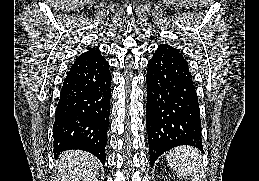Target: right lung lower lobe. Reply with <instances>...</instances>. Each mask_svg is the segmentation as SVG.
<instances>
[{"label":"right lung lower lobe","mask_w":259,"mask_h":181,"mask_svg":"<svg viewBox=\"0 0 259 181\" xmlns=\"http://www.w3.org/2000/svg\"><path fill=\"white\" fill-rule=\"evenodd\" d=\"M111 74L100 51L78 58L61 89L53 125L54 154L80 149L105 163Z\"/></svg>","instance_id":"right-lung-lower-lobe-1"}]
</instances>
